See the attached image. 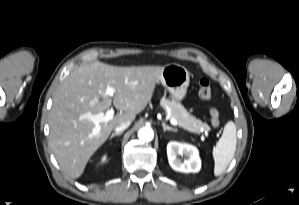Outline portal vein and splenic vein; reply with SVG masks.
I'll return each mask as SVG.
<instances>
[{
    "label": "portal vein and splenic vein",
    "mask_w": 299,
    "mask_h": 205,
    "mask_svg": "<svg viewBox=\"0 0 299 205\" xmlns=\"http://www.w3.org/2000/svg\"><path fill=\"white\" fill-rule=\"evenodd\" d=\"M105 94L109 97H113L115 94L114 88L107 87L105 90ZM114 113H115L114 109L111 108V109L107 110V112L105 114L101 113V114H96V115H91V114L87 115V118L96 125L95 129L93 130L94 135L98 134L100 131L99 124L102 122H108L109 120L113 119ZM170 123L174 126L178 125L177 120L174 118L170 119Z\"/></svg>",
    "instance_id": "portal-vein-and-splenic-vein-1"
}]
</instances>
